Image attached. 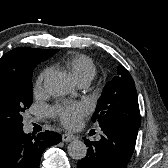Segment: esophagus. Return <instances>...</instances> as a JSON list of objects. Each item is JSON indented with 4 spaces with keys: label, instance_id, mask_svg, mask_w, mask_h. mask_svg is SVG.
<instances>
[{
    "label": "esophagus",
    "instance_id": "34e87169",
    "mask_svg": "<svg viewBox=\"0 0 168 168\" xmlns=\"http://www.w3.org/2000/svg\"><path fill=\"white\" fill-rule=\"evenodd\" d=\"M76 139L75 135L69 134V133H65L62 135V141L64 142H70L72 140Z\"/></svg>",
    "mask_w": 168,
    "mask_h": 168
}]
</instances>
